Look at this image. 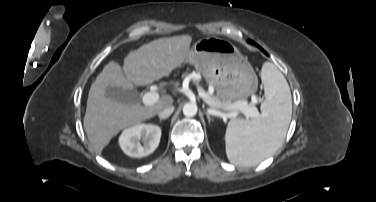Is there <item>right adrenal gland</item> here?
Masks as SVG:
<instances>
[{"instance_id":"2a0ac1e0","label":"right adrenal gland","mask_w":376,"mask_h":202,"mask_svg":"<svg viewBox=\"0 0 376 202\" xmlns=\"http://www.w3.org/2000/svg\"><path fill=\"white\" fill-rule=\"evenodd\" d=\"M159 121H160V123H161V122L163 121V119H160Z\"/></svg>"}]
</instances>
